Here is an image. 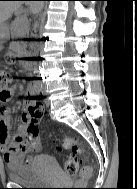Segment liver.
<instances>
[{"instance_id": "obj_1", "label": "liver", "mask_w": 137, "mask_h": 189, "mask_svg": "<svg viewBox=\"0 0 137 189\" xmlns=\"http://www.w3.org/2000/svg\"><path fill=\"white\" fill-rule=\"evenodd\" d=\"M33 12H38L42 4L37 2H28ZM22 5V1H0V26L11 17L14 11H16Z\"/></svg>"}]
</instances>
